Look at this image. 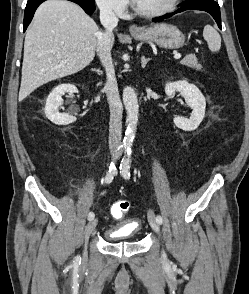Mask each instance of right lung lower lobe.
<instances>
[{
  "mask_svg": "<svg viewBox=\"0 0 249 294\" xmlns=\"http://www.w3.org/2000/svg\"><path fill=\"white\" fill-rule=\"evenodd\" d=\"M44 1L45 0H29L27 2L25 13H24V22H23L24 31L30 24L37 7ZM69 1L75 2L78 5H80L88 15H92L93 12L95 11L94 2H90L87 0H69Z\"/></svg>",
  "mask_w": 249,
  "mask_h": 294,
  "instance_id": "1",
  "label": "right lung lower lobe"
}]
</instances>
